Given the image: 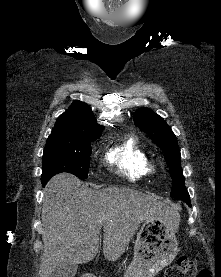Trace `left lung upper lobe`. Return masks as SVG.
Masks as SVG:
<instances>
[{
  "label": "left lung upper lobe",
  "instance_id": "obj_1",
  "mask_svg": "<svg viewBox=\"0 0 221 277\" xmlns=\"http://www.w3.org/2000/svg\"><path fill=\"white\" fill-rule=\"evenodd\" d=\"M135 124L150 135L151 139L164 152L173 179L170 196L184 200L190 198L184 184L183 171L180 166L181 156L176 136L162 117L149 108H140L133 114Z\"/></svg>",
  "mask_w": 221,
  "mask_h": 277
}]
</instances>
